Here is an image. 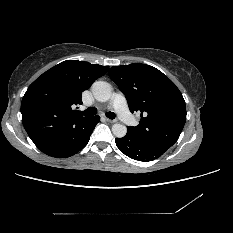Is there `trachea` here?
Masks as SVG:
<instances>
[{
	"instance_id": "3493384b",
	"label": "trachea",
	"mask_w": 233,
	"mask_h": 233,
	"mask_svg": "<svg viewBox=\"0 0 233 233\" xmlns=\"http://www.w3.org/2000/svg\"><path fill=\"white\" fill-rule=\"evenodd\" d=\"M97 113V109L95 107H89L85 111H79L78 114L85 115V116H94ZM109 119L115 118L114 112H107L105 114Z\"/></svg>"
}]
</instances>
